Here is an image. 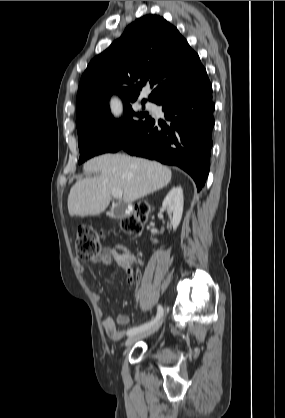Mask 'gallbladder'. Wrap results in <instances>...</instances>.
<instances>
[{"label": "gallbladder", "instance_id": "bac80fb5", "mask_svg": "<svg viewBox=\"0 0 285 418\" xmlns=\"http://www.w3.org/2000/svg\"><path fill=\"white\" fill-rule=\"evenodd\" d=\"M124 210H125V205L124 204L116 205V206L112 207L109 212H107V215L110 218L119 219V218L123 217Z\"/></svg>", "mask_w": 285, "mask_h": 418}]
</instances>
